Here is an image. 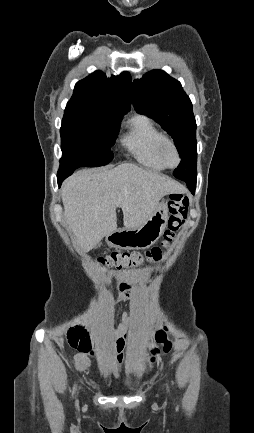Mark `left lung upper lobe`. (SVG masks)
Wrapping results in <instances>:
<instances>
[{"label": "left lung upper lobe", "mask_w": 254, "mask_h": 433, "mask_svg": "<svg viewBox=\"0 0 254 433\" xmlns=\"http://www.w3.org/2000/svg\"><path fill=\"white\" fill-rule=\"evenodd\" d=\"M132 101L137 112L155 120L174 139L181 162L173 175L185 182H196V121L180 82L162 70H152L133 82Z\"/></svg>", "instance_id": "1"}]
</instances>
